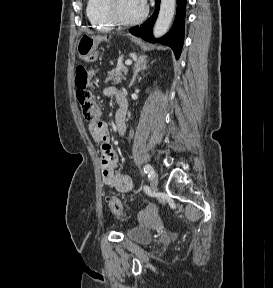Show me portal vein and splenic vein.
Segmentation results:
<instances>
[{"label":"portal vein and splenic vein","instance_id":"obj_1","mask_svg":"<svg viewBox=\"0 0 273 288\" xmlns=\"http://www.w3.org/2000/svg\"><path fill=\"white\" fill-rule=\"evenodd\" d=\"M125 64H126V65H132V61H131V60H127V61L125 62Z\"/></svg>","mask_w":273,"mask_h":288}]
</instances>
